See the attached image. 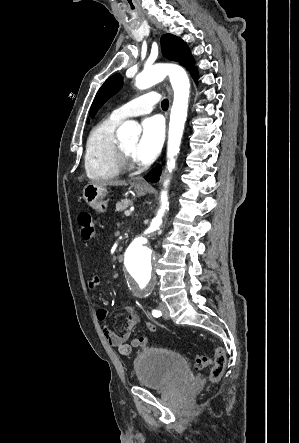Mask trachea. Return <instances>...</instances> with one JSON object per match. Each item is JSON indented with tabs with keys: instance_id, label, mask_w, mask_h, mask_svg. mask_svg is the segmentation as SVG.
<instances>
[{
	"instance_id": "3493384b",
	"label": "trachea",
	"mask_w": 299,
	"mask_h": 443,
	"mask_svg": "<svg viewBox=\"0 0 299 443\" xmlns=\"http://www.w3.org/2000/svg\"><path fill=\"white\" fill-rule=\"evenodd\" d=\"M168 105H169L168 100H167V99H164V100L162 101V108L166 110V109L168 108Z\"/></svg>"
}]
</instances>
